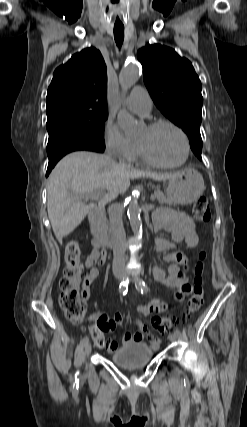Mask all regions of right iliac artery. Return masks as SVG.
Segmentation results:
<instances>
[{"label":"right iliac artery","instance_id":"obj_1","mask_svg":"<svg viewBox=\"0 0 247 427\" xmlns=\"http://www.w3.org/2000/svg\"><path fill=\"white\" fill-rule=\"evenodd\" d=\"M128 278L126 279V280H123L121 283H120V285H119V292L121 293V294H123V295H125L126 293H127V291H128ZM88 342V337H84L82 340H81V342H80V344L82 345V346H84V345H86V343ZM77 375H78V373L76 374V376H75V381L77 382Z\"/></svg>","mask_w":247,"mask_h":427}]
</instances>
